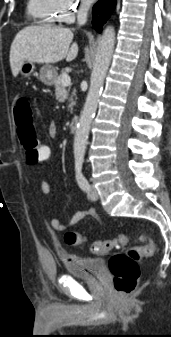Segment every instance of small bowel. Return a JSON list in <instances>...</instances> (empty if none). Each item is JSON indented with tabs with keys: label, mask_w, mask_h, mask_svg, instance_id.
I'll return each mask as SVG.
<instances>
[{
	"label": "small bowel",
	"mask_w": 171,
	"mask_h": 337,
	"mask_svg": "<svg viewBox=\"0 0 171 337\" xmlns=\"http://www.w3.org/2000/svg\"><path fill=\"white\" fill-rule=\"evenodd\" d=\"M56 132L57 130H56L55 125L51 123L48 127V134L51 137H54L56 135ZM40 189L44 195H48L50 193V185L45 178H42L40 181ZM86 217H92L95 219L98 218L94 210H82V211H76L71 216V218L69 219L67 223H63L58 218L52 217L50 219V225L54 230L58 232H66L71 227L75 226L76 224H78L80 221H82Z\"/></svg>",
	"instance_id": "obj_1"
}]
</instances>
